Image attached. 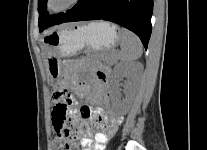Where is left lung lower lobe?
Listing matches in <instances>:
<instances>
[{
    "instance_id": "left-lung-lower-lobe-1",
    "label": "left lung lower lobe",
    "mask_w": 207,
    "mask_h": 150,
    "mask_svg": "<svg viewBox=\"0 0 207 150\" xmlns=\"http://www.w3.org/2000/svg\"><path fill=\"white\" fill-rule=\"evenodd\" d=\"M152 11L153 0H79L56 24L96 19L111 21L133 31L147 48Z\"/></svg>"
}]
</instances>
